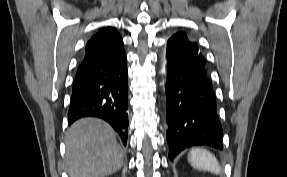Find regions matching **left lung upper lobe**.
Segmentation results:
<instances>
[{
    "mask_svg": "<svg viewBox=\"0 0 287 177\" xmlns=\"http://www.w3.org/2000/svg\"><path fill=\"white\" fill-rule=\"evenodd\" d=\"M170 39L176 42L184 56H187L188 59H194L201 65L205 66V59L198 45L192 40H189L185 33L179 32Z\"/></svg>",
    "mask_w": 287,
    "mask_h": 177,
    "instance_id": "5c2ea615",
    "label": "left lung upper lobe"
}]
</instances>
